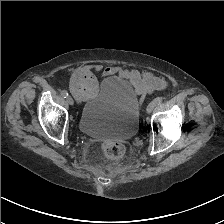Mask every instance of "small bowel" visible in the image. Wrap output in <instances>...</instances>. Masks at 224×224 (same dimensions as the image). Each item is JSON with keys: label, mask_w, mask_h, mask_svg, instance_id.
<instances>
[{"label": "small bowel", "mask_w": 224, "mask_h": 224, "mask_svg": "<svg viewBox=\"0 0 224 224\" xmlns=\"http://www.w3.org/2000/svg\"><path fill=\"white\" fill-rule=\"evenodd\" d=\"M85 68L96 73H101L104 76L118 75L121 78L127 79L131 88L138 95L161 90L166 86V82L162 78L149 72H140L135 69H122L118 66L103 67L101 64L87 65Z\"/></svg>", "instance_id": "obj_1"}]
</instances>
